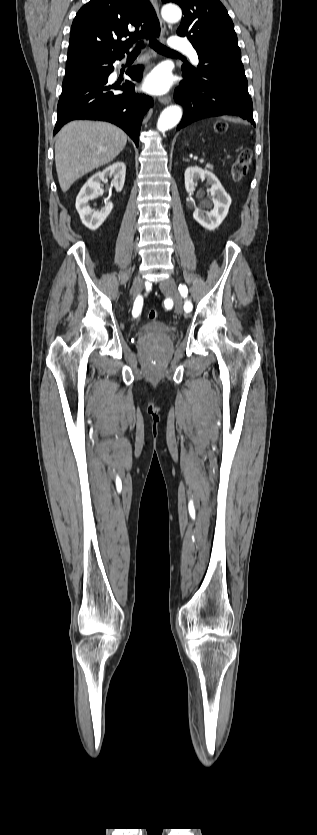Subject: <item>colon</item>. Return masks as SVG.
I'll use <instances>...</instances> for the list:
<instances>
[{"instance_id":"obj_1","label":"colon","mask_w":317,"mask_h":835,"mask_svg":"<svg viewBox=\"0 0 317 835\" xmlns=\"http://www.w3.org/2000/svg\"><path fill=\"white\" fill-rule=\"evenodd\" d=\"M227 129V125L223 122H220L216 125V130L221 132ZM252 162V152L250 149L242 150L238 157L231 165V175L235 181H240L248 172V169ZM148 318L150 320H157L159 318V312L155 309H150L148 311Z\"/></svg>"}]
</instances>
